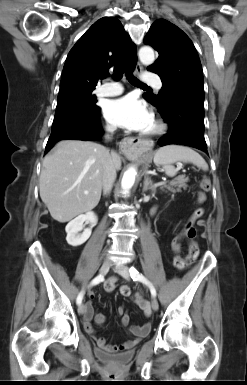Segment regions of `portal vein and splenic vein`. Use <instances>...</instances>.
Segmentation results:
<instances>
[{
  "mask_svg": "<svg viewBox=\"0 0 247 385\" xmlns=\"http://www.w3.org/2000/svg\"><path fill=\"white\" fill-rule=\"evenodd\" d=\"M181 169H182V165L181 164L177 165V170H181ZM164 184H165V182H158L157 184H155V186L157 187V186H161ZM84 193L88 194V191H85Z\"/></svg>",
  "mask_w": 247,
  "mask_h": 385,
  "instance_id": "1",
  "label": "portal vein and splenic vein"
}]
</instances>
